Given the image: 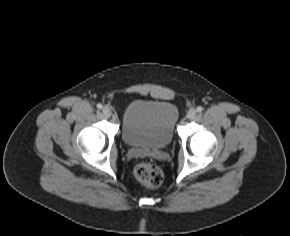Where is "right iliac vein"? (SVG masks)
Segmentation results:
<instances>
[{
	"label": "right iliac vein",
	"instance_id": "obj_1",
	"mask_svg": "<svg viewBox=\"0 0 290 236\" xmlns=\"http://www.w3.org/2000/svg\"><path fill=\"white\" fill-rule=\"evenodd\" d=\"M102 113L105 117H110L112 114L111 109L108 106L102 108Z\"/></svg>",
	"mask_w": 290,
	"mask_h": 236
}]
</instances>
